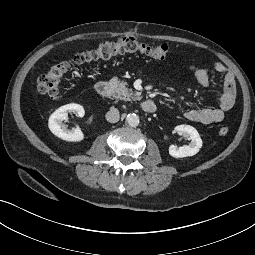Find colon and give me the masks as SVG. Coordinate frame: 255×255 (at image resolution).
<instances>
[{"mask_svg":"<svg viewBox=\"0 0 255 255\" xmlns=\"http://www.w3.org/2000/svg\"><path fill=\"white\" fill-rule=\"evenodd\" d=\"M124 53H140L152 59L163 60L170 54V49L166 44L149 45L132 37H125L116 42H103L92 49L78 53L70 61L50 67L37 81L38 92L52 99H59L62 81L73 65L106 60ZM228 131L226 126H222L218 132L224 136Z\"/></svg>","mask_w":255,"mask_h":255,"instance_id":"colon-1","label":"colon"}]
</instances>
